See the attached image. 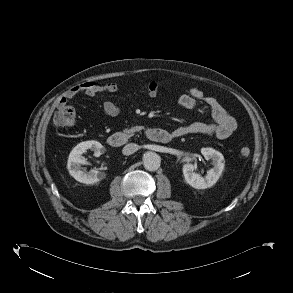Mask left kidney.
<instances>
[{"label":"left kidney","instance_id":"5707ae66","mask_svg":"<svg viewBox=\"0 0 293 293\" xmlns=\"http://www.w3.org/2000/svg\"><path fill=\"white\" fill-rule=\"evenodd\" d=\"M201 153L206 160H212L213 168L202 177L194 172L193 164H184L182 171L185 181L195 189H206L212 187L220 178L224 169L223 155L213 148H202Z\"/></svg>","mask_w":293,"mask_h":293}]
</instances>
